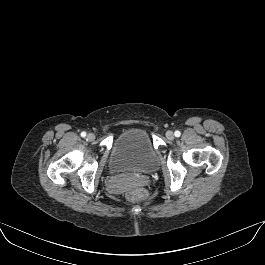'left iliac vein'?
I'll return each instance as SVG.
<instances>
[{"mask_svg": "<svg viewBox=\"0 0 265 265\" xmlns=\"http://www.w3.org/2000/svg\"><path fill=\"white\" fill-rule=\"evenodd\" d=\"M166 137L169 139V140H173L174 139V133L172 131H167L166 132Z\"/></svg>", "mask_w": 265, "mask_h": 265, "instance_id": "obj_1", "label": "left iliac vein"}]
</instances>
